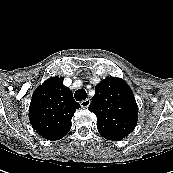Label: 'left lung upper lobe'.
<instances>
[{
	"mask_svg": "<svg viewBox=\"0 0 173 173\" xmlns=\"http://www.w3.org/2000/svg\"><path fill=\"white\" fill-rule=\"evenodd\" d=\"M88 109L97 116V129L107 140L123 139L134 130L138 119L133 92L117 77H106L95 86Z\"/></svg>",
	"mask_w": 173,
	"mask_h": 173,
	"instance_id": "left-lung-upper-lobe-1",
	"label": "left lung upper lobe"
}]
</instances>
